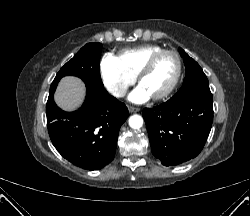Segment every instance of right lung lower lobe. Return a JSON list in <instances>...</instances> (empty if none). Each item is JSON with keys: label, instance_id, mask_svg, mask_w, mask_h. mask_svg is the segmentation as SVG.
<instances>
[{"label": "right lung lower lobe", "instance_id": "obj_1", "mask_svg": "<svg viewBox=\"0 0 250 216\" xmlns=\"http://www.w3.org/2000/svg\"><path fill=\"white\" fill-rule=\"evenodd\" d=\"M50 90L47 124L50 139L57 151L72 164L97 170L110 163L115 155L121 125L129 116L125 104L110 96L104 88L86 85V99L74 112L61 110Z\"/></svg>", "mask_w": 250, "mask_h": 216}]
</instances>
